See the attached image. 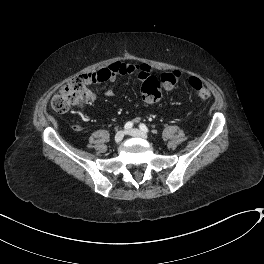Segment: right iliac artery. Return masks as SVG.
<instances>
[{
	"mask_svg": "<svg viewBox=\"0 0 264 264\" xmlns=\"http://www.w3.org/2000/svg\"><path fill=\"white\" fill-rule=\"evenodd\" d=\"M133 126V123L132 122H127L125 125H124V128L126 130L130 129L131 127Z\"/></svg>",
	"mask_w": 264,
	"mask_h": 264,
	"instance_id": "right-iliac-artery-1",
	"label": "right iliac artery"
}]
</instances>
